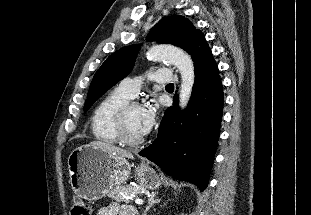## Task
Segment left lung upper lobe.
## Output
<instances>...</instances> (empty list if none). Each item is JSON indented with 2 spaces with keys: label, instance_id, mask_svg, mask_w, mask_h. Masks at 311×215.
<instances>
[{
  "label": "left lung upper lobe",
  "instance_id": "obj_1",
  "mask_svg": "<svg viewBox=\"0 0 311 215\" xmlns=\"http://www.w3.org/2000/svg\"><path fill=\"white\" fill-rule=\"evenodd\" d=\"M200 30L185 17L173 15L159 21L149 32L148 41L168 43L181 47L186 52L202 37ZM139 46L121 48L111 54L94 75L84 111H87L108 89L127 76L132 70Z\"/></svg>",
  "mask_w": 311,
  "mask_h": 215
}]
</instances>
